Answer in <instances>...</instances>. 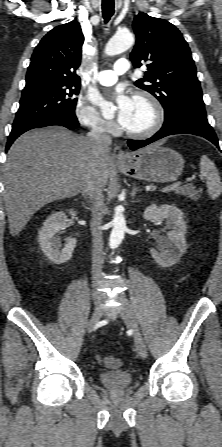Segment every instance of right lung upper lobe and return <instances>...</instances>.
<instances>
[{"instance_id": "right-lung-upper-lobe-1", "label": "right lung upper lobe", "mask_w": 222, "mask_h": 447, "mask_svg": "<svg viewBox=\"0 0 222 447\" xmlns=\"http://www.w3.org/2000/svg\"><path fill=\"white\" fill-rule=\"evenodd\" d=\"M84 36L77 21L57 26L36 46L26 75V88L43 85H78Z\"/></svg>"}]
</instances>
